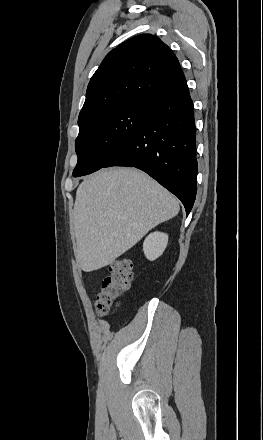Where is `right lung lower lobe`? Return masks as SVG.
<instances>
[{
	"instance_id": "98d812e1",
	"label": "right lung lower lobe",
	"mask_w": 263,
	"mask_h": 440,
	"mask_svg": "<svg viewBox=\"0 0 263 440\" xmlns=\"http://www.w3.org/2000/svg\"><path fill=\"white\" fill-rule=\"evenodd\" d=\"M194 108L187 83L150 103L139 128L103 167H136L176 195L190 213L197 192Z\"/></svg>"
}]
</instances>
